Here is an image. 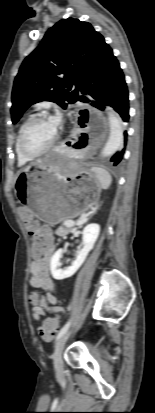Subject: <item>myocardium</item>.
<instances>
[{
  "instance_id": "myocardium-1",
  "label": "myocardium",
  "mask_w": 155,
  "mask_h": 413,
  "mask_svg": "<svg viewBox=\"0 0 155 413\" xmlns=\"http://www.w3.org/2000/svg\"><path fill=\"white\" fill-rule=\"evenodd\" d=\"M49 116L47 114L44 113H40V114H36L34 116H32L31 118H29L22 126L21 130H20V134H19V148L21 153L30 159H34V158H38L44 154H46L47 152H49L50 150H52L58 140L59 134L58 132L56 133L54 139L50 142L49 145H47L45 148L39 150V151H32L30 149L27 148L26 144H25V136L27 133V130L29 129V127L31 125H33L35 122L37 121H42V120H49Z\"/></svg>"
}]
</instances>
